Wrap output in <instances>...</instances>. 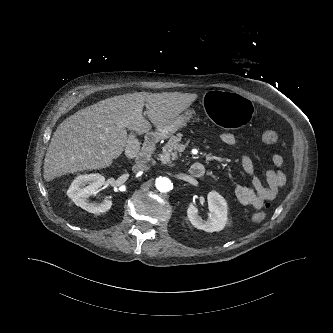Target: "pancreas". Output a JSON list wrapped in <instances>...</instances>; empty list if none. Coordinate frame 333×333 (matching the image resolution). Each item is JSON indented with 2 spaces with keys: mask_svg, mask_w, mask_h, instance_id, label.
I'll return each mask as SVG.
<instances>
[{
  "mask_svg": "<svg viewBox=\"0 0 333 333\" xmlns=\"http://www.w3.org/2000/svg\"><path fill=\"white\" fill-rule=\"evenodd\" d=\"M181 142L180 134L177 136H171L169 141L163 146L162 153L159 154L160 160L164 164H169L173 160H176V150Z\"/></svg>",
  "mask_w": 333,
  "mask_h": 333,
  "instance_id": "cf45deb5",
  "label": "pancreas"
}]
</instances>
